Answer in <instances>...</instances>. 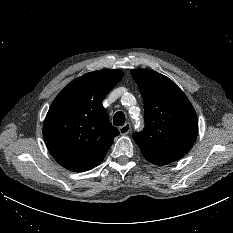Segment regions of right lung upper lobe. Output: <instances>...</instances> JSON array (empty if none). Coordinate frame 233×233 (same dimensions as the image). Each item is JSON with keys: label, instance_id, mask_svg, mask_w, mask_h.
I'll return each mask as SVG.
<instances>
[{"label": "right lung upper lobe", "instance_id": "1", "mask_svg": "<svg viewBox=\"0 0 233 233\" xmlns=\"http://www.w3.org/2000/svg\"><path fill=\"white\" fill-rule=\"evenodd\" d=\"M117 69L86 73L54 99L43 124V137L53 158L64 168L83 172L96 167L119 131L102 105L122 79Z\"/></svg>", "mask_w": 233, "mask_h": 233}]
</instances>
